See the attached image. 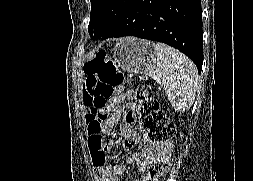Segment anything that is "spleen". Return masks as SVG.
<instances>
[{"mask_svg":"<svg viewBox=\"0 0 253 181\" xmlns=\"http://www.w3.org/2000/svg\"><path fill=\"white\" fill-rule=\"evenodd\" d=\"M155 75L177 111L189 108L198 90V72L194 63L179 51L163 43H156Z\"/></svg>","mask_w":253,"mask_h":181,"instance_id":"1","label":"spleen"}]
</instances>
